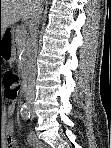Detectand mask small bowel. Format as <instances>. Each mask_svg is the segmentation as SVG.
Listing matches in <instances>:
<instances>
[{
	"mask_svg": "<svg viewBox=\"0 0 111 148\" xmlns=\"http://www.w3.org/2000/svg\"><path fill=\"white\" fill-rule=\"evenodd\" d=\"M15 103H12L11 105L8 106V113L13 114L15 112ZM6 134H7V145L6 148H13L17 147L16 142L13 138L14 134V126L12 124H9L6 129ZM28 142L29 145L33 148H42L44 145L36 138V136L33 133H29L28 135Z\"/></svg>",
	"mask_w": 111,
	"mask_h": 148,
	"instance_id": "obj_1",
	"label": "small bowel"
}]
</instances>
